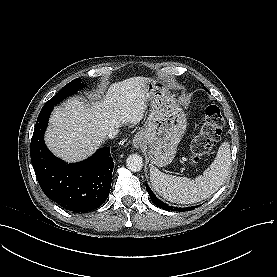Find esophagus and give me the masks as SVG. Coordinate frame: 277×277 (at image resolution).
<instances>
[{
	"label": "esophagus",
	"mask_w": 277,
	"mask_h": 277,
	"mask_svg": "<svg viewBox=\"0 0 277 277\" xmlns=\"http://www.w3.org/2000/svg\"><path fill=\"white\" fill-rule=\"evenodd\" d=\"M133 145L135 147H141L142 139L139 136H135L134 139H133Z\"/></svg>",
	"instance_id": "obj_1"
}]
</instances>
